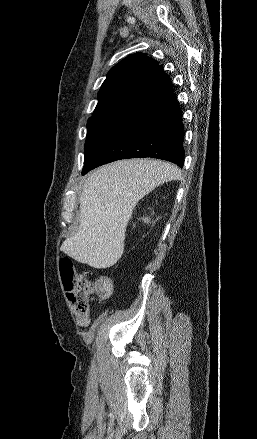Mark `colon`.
I'll return each instance as SVG.
<instances>
[{"label": "colon", "instance_id": "obj_1", "mask_svg": "<svg viewBox=\"0 0 257 439\" xmlns=\"http://www.w3.org/2000/svg\"><path fill=\"white\" fill-rule=\"evenodd\" d=\"M60 272L67 299L77 316L88 317L91 296L105 298L112 292L110 278L100 276L95 281H89L85 276L77 273L74 262L68 258L61 259Z\"/></svg>", "mask_w": 257, "mask_h": 439}]
</instances>
